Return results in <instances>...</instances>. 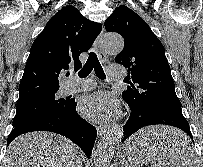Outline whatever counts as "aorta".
I'll list each match as a JSON object with an SVG mask.
<instances>
[{"mask_svg": "<svg viewBox=\"0 0 203 167\" xmlns=\"http://www.w3.org/2000/svg\"><path fill=\"white\" fill-rule=\"evenodd\" d=\"M101 46L107 53L118 54L124 48V41L118 34H105ZM122 138L123 130L118 126L112 128L103 136L94 153L95 167L109 166Z\"/></svg>", "mask_w": 203, "mask_h": 167, "instance_id": "obj_1", "label": "aorta"}]
</instances>
